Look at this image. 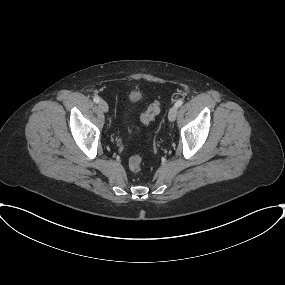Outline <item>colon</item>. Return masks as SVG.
Returning <instances> with one entry per match:
<instances>
[{
  "label": "colon",
  "mask_w": 285,
  "mask_h": 285,
  "mask_svg": "<svg viewBox=\"0 0 285 285\" xmlns=\"http://www.w3.org/2000/svg\"><path fill=\"white\" fill-rule=\"evenodd\" d=\"M161 104L158 100L153 101L147 108V110L140 116V121L144 124L152 122L159 114ZM129 169L132 172H140L142 169V158L140 155H134L129 159Z\"/></svg>",
  "instance_id": "obj_1"
}]
</instances>
